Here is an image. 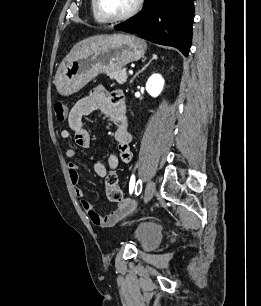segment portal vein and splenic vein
<instances>
[{
    "instance_id": "portal-vein-and-splenic-vein-1",
    "label": "portal vein and splenic vein",
    "mask_w": 261,
    "mask_h": 306,
    "mask_svg": "<svg viewBox=\"0 0 261 306\" xmlns=\"http://www.w3.org/2000/svg\"><path fill=\"white\" fill-rule=\"evenodd\" d=\"M129 74H130V75H132V74H133V71H132V70H130V71H129Z\"/></svg>"
}]
</instances>
